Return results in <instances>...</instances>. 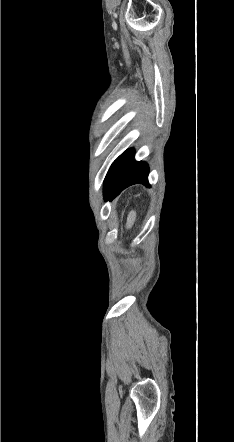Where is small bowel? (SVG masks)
Here are the masks:
<instances>
[{"instance_id": "obj_1", "label": "small bowel", "mask_w": 234, "mask_h": 442, "mask_svg": "<svg viewBox=\"0 0 234 442\" xmlns=\"http://www.w3.org/2000/svg\"><path fill=\"white\" fill-rule=\"evenodd\" d=\"M135 219V213L131 212L128 217V224L130 225Z\"/></svg>"}]
</instances>
